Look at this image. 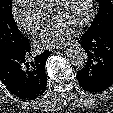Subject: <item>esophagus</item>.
Segmentation results:
<instances>
[{"label": "esophagus", "mask_w": 113, "mask_h": 113, "mask_svg": "<svg viewBox=\"0 0 113 113\" xmlns=\"http://www.w3.org/2000/svg\"><path fill=\"white\" fill-rule=\"evenodd\" d=\"M73 44H77V41L73 40V41H70V42L63 43L60 47H57V49H62V48H65L67 46H71Z\"/></svg>", "instance_id": "1"}]
</instances>
